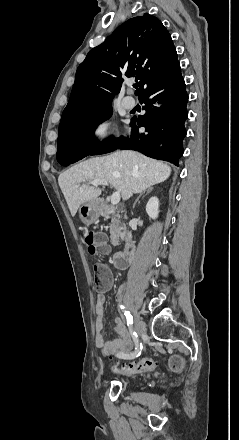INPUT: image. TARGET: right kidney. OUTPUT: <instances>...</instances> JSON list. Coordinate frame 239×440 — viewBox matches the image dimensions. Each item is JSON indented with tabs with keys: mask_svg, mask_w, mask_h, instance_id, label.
Here are the masks:
<instances>
[{
	"mask_svg": "<svg viewBox=\"0 0 239 440\" xmlns=\"http://www.w3.org/2000/svg\"><path fill=\"white\" fill-rule=\"evenodd\" d=\"M159 200L158 198H150L146 204V212L149 216V218H152V220H156L158 218L159 214Z\"/></svg>",
	"mask_w": 239,
	"mask_h": 440,
	"instance_id": "right-kidney-1",
	"label": "right kidney"
}]
</instances>
